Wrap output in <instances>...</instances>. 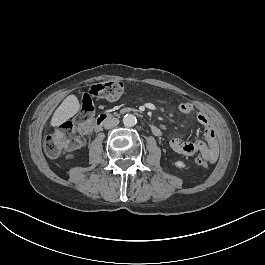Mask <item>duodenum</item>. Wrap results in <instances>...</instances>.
<instances>
[{
  "label": "duodenum",
  "mask_w": 265,
  "mask_h": 265,
  "mask_svg": "<svg viewBox=\"0 0 265 265\" xmlns=\"http://www.w3.org/2000/svg\"><path fill=\"white\" fill-rule=\"evenodd\" d=\"M112 115L110 113H103L97 116V118L95 119V123H94V129H96L98 132L101 131L104 123L111 117ZM150 130L152 131V133L157 136L160 137L162 135V131L161 129L154 124H150Z\"/></svg>",
  "instance_id": "duodenum-1"
}]
</instances>
